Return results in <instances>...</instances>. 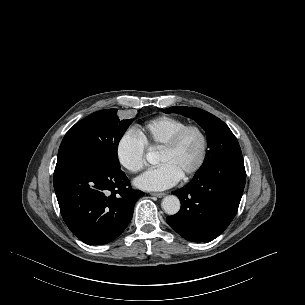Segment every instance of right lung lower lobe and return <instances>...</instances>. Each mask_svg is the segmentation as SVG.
Masks as SVG:
<instances>
[{
	"mask_svg": "<svg viewBox=\"0 0 305 305\" xmlns=\"http://www.w3.org/2000/svg\"><path fill=\"white\" fill-rule=\"evenodd\" d=\"M54 189L66 225L89 245L118 237L132 218L135 202L144 195L131 188L120 169L92 162L56 166Z\"/></svg>",
	"mask_w": 305,
	"mask_h": 305,
	"instance_id": "obj_1",
	"label": "right lung lower lobe"
}]
</instances>
